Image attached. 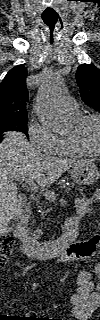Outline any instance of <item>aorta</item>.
Masks as SVG:
<instances>
[{
  "mask_svg": "<svg viewBox=\"0 0 100 320\" xmlns=\"http://www.w3.org/2000/svg\"><path fill=\"white\" fill-rule=\"evenodd\" d=\"M62 92V78L57 74H50L42 81L37 94V115L45 126L54 131L68 126V120L57 105Z\"/></svg>",
  "mask_w": 100,
  "mask_h": 320,
  "instance_id": "1",
  "label": "aorta"
}]
</instances>
